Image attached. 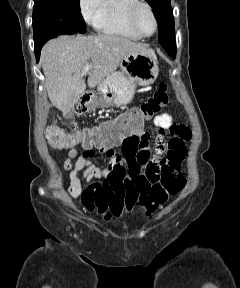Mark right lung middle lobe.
I'll return each instance as SVG.
<instances>
[{
  "mask_svg": "<svg viewBox=\"0 0 240 288\" xmlns=\"http://www.w3.org/2000/svg\"><path fill=\"white\" fill-rule=\"evenodd\" d=\"M80 0H34L35 46L61 34L84 33Z\"/></svg>",
  "mask_w": 240,
  "mask_h": 288,
  "instance_id": "obj_1",
  "label": "right lung middle lobe"
}]
</instances>
